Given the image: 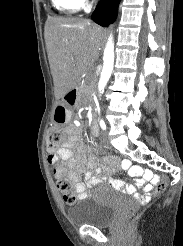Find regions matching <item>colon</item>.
Returning <instances> with one entry per match:
<instances>
[{"mask_svg":"<svg viewBox=\"0 0 183 246\" xmlns=\"http://www.w3.org/2000/svg\"><path fill=\"white\" fill-rule=\"evenodd\" d=\"M67 113L63 106H59L55 112V120L58 123H63L66 120ZM64 140L63 132L56 126H51L47 130L46 136V147L48 151H55L59 148ZM100 157H103L104 154L108 153L107 149L103 151L98 150ZM54 174L57 178V186L60 192L63 195L64 201L72 205L76 201V197L73 189V181L68 177L66 171L62 167H55ZM144 176V175H143ZM157 184L156 194H160L163 192L167 186V178L161 177V182H155Z\"/></svg>","mask_w":183,"mask_h":246,"instance_id":"1","label":"colon"}]
</instances>
